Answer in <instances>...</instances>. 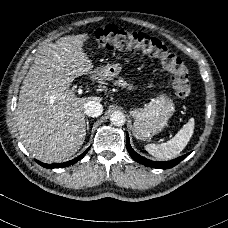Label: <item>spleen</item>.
Returning a JSON list of instances; mask_svg holds the SVG:
<instances>
[{"label":"spleen","mask_w":228,"mask_h":228,"mask_svg":"<svg viewBox=\"0 0 228 228\" xmlns=\"http://www.w3.org/2000/svg\"><path fill=\"white\" fill-rule=\"evenodd\" d=\"M194 125V119H189L172 139L161 144H147L145 150L160 160L175 158L190 141L194 133Z\"/></svg>","instance_id":"1"}]
</instances>
